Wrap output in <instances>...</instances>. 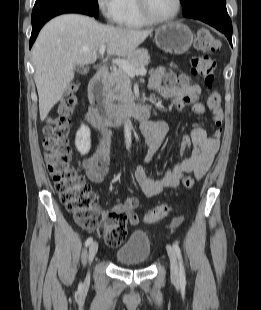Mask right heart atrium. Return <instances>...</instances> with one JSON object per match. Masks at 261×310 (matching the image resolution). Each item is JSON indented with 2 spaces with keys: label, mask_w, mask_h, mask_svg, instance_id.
Instances as JSON below:
<instances>
[{
  "label": "right heart atrium",
  "mask_w": 261,
  "mask_h": 310,
  "mask_svg": "<svg viewBox=\"0 0 261 310\" xmlns=\"http://www.w3.org/2000/svg\"><path fill=\"white\" fill-rule=\"evenodd\" d=\"M123 0H96L97 7L102 16L109 23H117L122 11Z\"/></svg>",
  "instance_id": "1"
}]
</instances>
